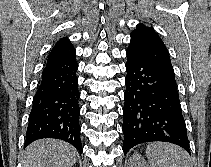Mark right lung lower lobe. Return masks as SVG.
<instances>
[{"mask_svg": "<svg viewBox=\"0 0 211 167\" xmlns=\"http://www.w3.org/2000/svg\"><path fill=\"white\" fill-rule=\"evenodd\" d=\"M77 69L76 56L46 64L33 98L24 147L38 139L55 138L82 153Z\"/></svg>", "mask_w": 211, "mask_h": 167, "instance_id": "1", "label": "right lung lower lobe"}]
</instances>
